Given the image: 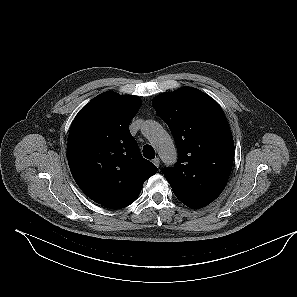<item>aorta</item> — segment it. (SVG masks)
<instances>
[{"label": "aorta", "instance_id": "obj_1", "mask_svg": "<svg viewBox=\"0 0 297 297\" xmlns=\"http://www.w3.org/2000/svg\"><path fill=\"white\" fill-rule=\"evenodd\" d=\"M143 134L151 141L161 159L167 164L177 160V151L171 136L163 127L152 120L145 121L142 126Z\"/></svg>", "mask_w": 297, "mask_h": 297}]
</instances>
